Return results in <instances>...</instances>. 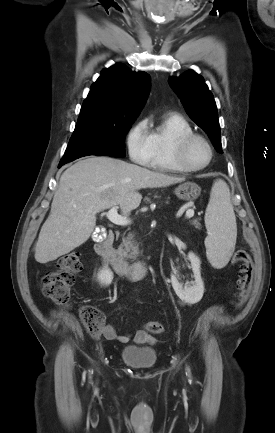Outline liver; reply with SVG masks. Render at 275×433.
<instances>
[{"label": "liver", "instance_id": "1", "mask_svg": "<svg viewBox=\"0 0 275 433\" xmlns=\"http://www.w3.org/2000/svg\"><path fill=\"white\" fill-rule=\"evenodd\" d=\"M185 181L110 157H89L61 176L50 215L35 247V260L54 261L85 243L96 225V214L119 206L124 217L142 200L138 190L167 187Z\"/></svg>", "mask_w": 275, "mask_h": 433}]
</instances>
